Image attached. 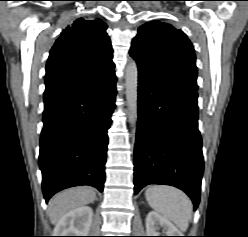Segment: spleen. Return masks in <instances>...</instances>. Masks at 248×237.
Segmentation results:
<instances>
[{"instance_id": "1", "label": "spleen", "mask_w": 248, "mask_h": 237, "mask_svg": "<svg viewBox=\"0 0 248 237\" xmlns=\"http://www.w3.org/2000/svg\"><path fill=\"white\" fill-rule=\"evenodd\" d=\"M149 205L164 218L186 231L192 216V203L181 190L165 185L150 186L145 191Z\"/></svg>"}]
</instances>
